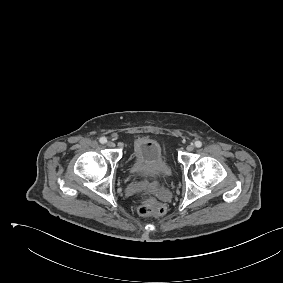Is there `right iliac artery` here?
<instances>
[{
  "instance_id": "82829eb1",
  "label": "right iliac artery",
  "mask_w": 283,
  "mask_h": 283,
  "mask_svg": "<svg viewBox=\"0 0 283 283\" xmlns=\"http://www.w3.org/2000/svg\"><path fill=\"white\" fill-rule=\"evenodd\" d=\"M99 141L100 143L105 144L107 142V139L105 137H101Z\"/></svg>"
}]
</instances>
